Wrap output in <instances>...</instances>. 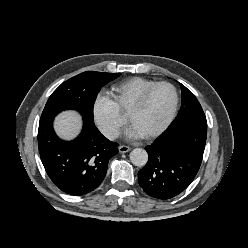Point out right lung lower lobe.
Returning <instances> with one entry per match:
<instances>
[{
    "label": "right lung lower lobe",
    "instance_id": "right-lung-lower-lobe-1",
    "mask_svg": "<svg viewBox=\"0 0 248 248\" xmlns=\"http://www.w3.org/2000/svg\"><path fill=\"white\" fill-rule=\"evenodd\" d=\"M117 146L85 118L81 134L73 141H63L55 134L53 119L39 124L38 148L46 173L60 190L73 196L85 195L100 185L109 159L118 153Z\"/></svg>",
    "mask_w": 248,
    "mask_h": 248
}]
</instances>
